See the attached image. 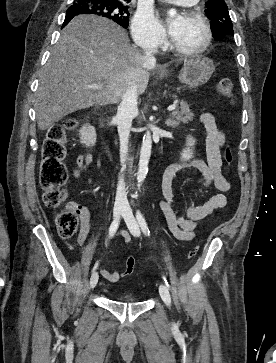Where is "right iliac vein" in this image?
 Returning a JSON list of instances; mask_svg holds the SVG:
<instances>
[{
    "label": "right iliac vein",
    "instance_id": "1",
    "mask_svg": "<svg viewBox=\"0 0 276 363\" xmlns=\"http://www.w3.org/2000/svg\"><path fill=\"white\" fill-rule=\"evenodd\" d=\"M123 211H124V206L122 205L115 206L113 212L114 219H117ZM97 282H98V273L94 272L90 279V289H93L96 286Z\"/></svg>",
    "mask_w": 276,
    "mask_h": 363
}]
</instances>
